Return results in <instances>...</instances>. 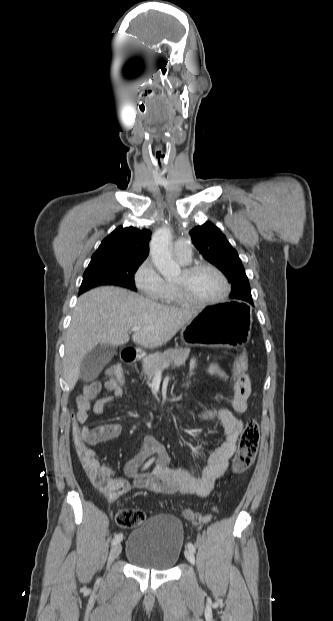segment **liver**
<instances>
[{"label":"liver","mask_w":333,"mask_h":621,"mask_svg":"<svg viewBox=\"0 0 333 621\" xmlns=\"http://www.w3.org/2000/svg\"><path fill=\"white\" fill-rule=\"evenodd\" d=\"M197 315L196 311L158 304L118 287H99L84 293L77 300L66 335L63 370L68 388H74L83 359L97 345L125 344L130 328L137 326L142 330L134 331L133 342L156 348Z\"/></svg>","instance_id":"obj_1"}]
</instances>
